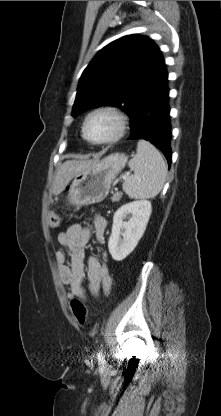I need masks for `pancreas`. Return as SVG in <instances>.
<instances>
[{
  "mask_svg": "<svg viewBox=\"0 0 221 416\" xmlns=\"http://www.w3.org/2000/svg\"><path fill=\"white\" fill-rule=\"evenodd\" d=\"M122 193L121 192H117L115 194H113V196L111 197L112 202H119L120 199L122 198Z\"/></svg>",
  "mask_w": 221,
  "mask_h": 416,
  "instance_id": "1",
  "label": "pancreas"
}]
</instances>
